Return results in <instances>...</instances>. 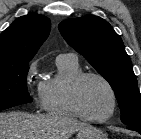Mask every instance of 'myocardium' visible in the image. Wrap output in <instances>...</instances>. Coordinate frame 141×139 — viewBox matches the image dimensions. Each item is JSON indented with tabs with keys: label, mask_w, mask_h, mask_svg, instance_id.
<instances>
[{
	"label": "myocardium",
	"mask_w": 141,
	"mask_h": 139,
	"mask_svg": "<svg viewBox=\"0 0 141 139\" xmlns=\"http://www.w3.org/2000/svg\"><path fill=\"white\" fill-rule=\"evenodd\" d=\"M88 78H97L101 80L108 88L110 94H111V99H112V106L110 112L102 118H94L85 113V111L82 108L81 102H80V88L83 84V82L88 79ZM69 99L72 108L76 112V114L86 120L90 121L93 123H104L108 120H110L116 109H117V94L116 91L111 84V82L102 74L97 73V72H83L82 74L78 75L71 83L70 88H69Z\"/></svg>",
	"instance_id": "obj_1"
}]
</instances>
